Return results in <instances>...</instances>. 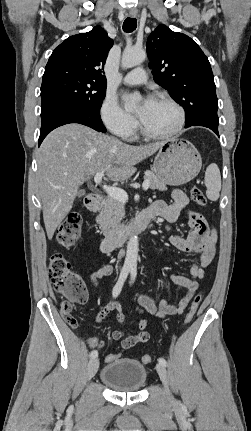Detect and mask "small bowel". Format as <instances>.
I'll use <instances>...</instances> for the list:
<instances>
[{"mask_svg": "<svg viewBox=\"0 0 251 431\" xmlns=\"http://www.w3.org/2000/svg\"><path fill=\"white\" fill-rule=\"evenodd\" d=\"M173 201L168 204L165 201L158 200L152 203L146 210L153 214V217H161L167 222L173 223L178 220L183 210L188 205V198L181 190H175L172 195ZM188 223L191 228L187 236L172 235L169 238L171 245L180 251L186 253L199 254V262L191 268V277L179 274H171L170 280L186 289L185 295L177 305H173L168 299L163 298L156 304L149 296L140 295L137 298L136 311L147 312L152 316L163 318L171 315L182 314L191 302L194 294L198 290L199 283L205 276V268L212 262L215 251L217 236L214 229L209 225L205 217L195 211H188ZM113 271L110 263H103L101 267L90 275V281L96 290L99 286V279L109 276ZM116 311L117 321L125 325L126 320L122 312L121 304L110 302L98 312L95 322L101 323L109 313ZM149 325L147 319H142L137 323V333H127L123 330H115L111 333V338L115 341H121L123 349H129L137 344L145 343L149 340L150 335L146 328ZM107 358V356H106Z\"/></svg>", "mask_w": 251, "mask_h": 431, "instance_id": "1", "label": "small bowel"}]
</instances>
